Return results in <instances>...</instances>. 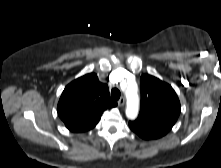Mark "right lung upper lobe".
I'll use <instances>...</instances> for the list:
<instances>
[{
  "label": "right lung upper lobe",
  "instance_id": "cb5924a9",
  "mask_svg": "<svg viewBox=\"0 0 221 168\" xmlns=\"http://www.w3.org/2000/svg\"><path fill=\"white\" fill-rule=\"evenodd\" d=\"M115 106L108 86L100 83L95 73H89L65 87L57 111L70 131L83 132L96 126L104 110Z\"/></svg>",
  "mask_w": 221,
  "mask_h": 168
}]
</instances>
